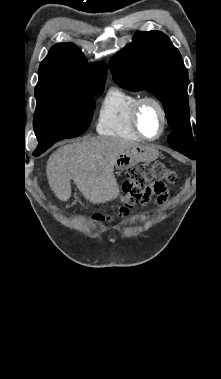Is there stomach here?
<instances>
[{"label":"stomach","instance_id":"1","mask_svg":"<svg viewBox=\"0 0 221 379\" xmlns=\"http://www.w3.org/2000/svg\"><path fill=\"white\" fill-rule=\"evenodd\" d=\"M158 157V151L144 145H137L122 152L115 162V168L121 172L140 162H151Z\"/></svg>","mask_w":221,"mask_h":379}]
</instances>
